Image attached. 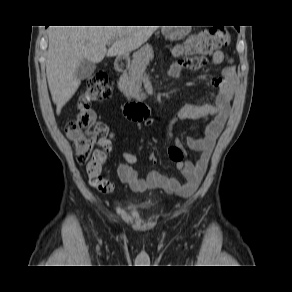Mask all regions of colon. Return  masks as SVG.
I'll return each mask as SVG.
<instances>
[{
	"instance_id": "5ec220e1",
	"label": "colon",
	"mask_w": 292,
	"mask_h": 292,
	"mask_svg": "<svg viewBox=\"0 0 292 292\" xmlns=\"http://www.w3.org/2000/svg\"><path fill=\"white\" fill-rule=\"evenodd\" d=\"M229 43V33L224 27H212L201 31L180 45L176 54L209 56ZM111 95L108 76L98 73L92 76L83 88L78 100V115L65 125L66 135L73 141L75 157L79 164L86 165L89 183L102 193L113 191V184L103 177V164L109 151V143L93 150L99 139L105 134L106 128L97 122L91 104L107 99ZM168 157L174 163L184 160V152L178 146L168 149ZM149 160L156 163L159 154L151 152Z\"/></svg>"
}]
</instances>
